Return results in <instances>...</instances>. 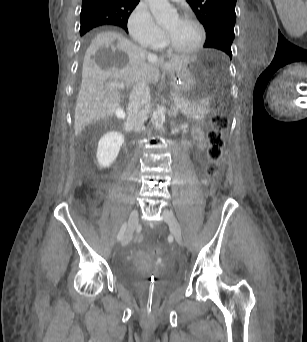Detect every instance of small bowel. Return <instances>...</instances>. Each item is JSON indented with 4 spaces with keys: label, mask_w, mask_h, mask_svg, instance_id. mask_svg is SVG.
Here are the masks:
<instances>
[{
    "label": "small bowel",
    "mask_w": 307,
    "mask_h": 342,
    "mask_svg": "<svg viewBox=\"0 0 307 342\" xmlns=\"http://www.w3.org/2000/svg\"><path fill=\"white\" fill-rule=\"evenodd\" d=\"M193 136L198 141L200 148H205L206 140H205L203 132L198 128L194 129Z\"/></svg>",
    "instance_id": "small-bowel-1"
}]
</instances>
